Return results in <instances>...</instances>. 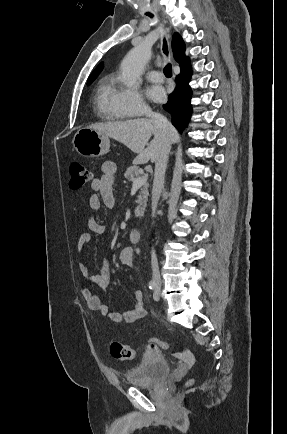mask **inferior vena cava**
<instances>
[{
    "label": "inferior vena cava",
    "mask_w": 287,
    "mask_h": 434,
    "mask_svg": "<svg viewBox=\"0 0 287 434\" xmlns=\"http://www.w3.org/2000/svg\"><path fill=\"white\" fill-rule=\"evenodd\" d=\"M145 115L154 121V124L157 127V136H158V152L155 158V173H154L153 189H152V217H154L157 203L163 189L165 171H166L167 161L170 153L171 129H170V124L166 119V117H164L160 113H155L152 112L150 109H147L145 111ZM151 265H152V272H153V280L156 283H160L161 277H160V272L158 267V261H157L155 251L153 249L151 251Z\"/></svg>",
    "instance_id": "inferior-vena-cava-1"
}]
</instances>
